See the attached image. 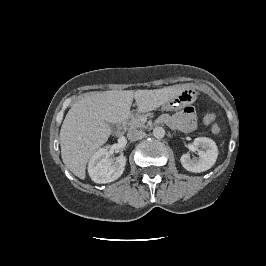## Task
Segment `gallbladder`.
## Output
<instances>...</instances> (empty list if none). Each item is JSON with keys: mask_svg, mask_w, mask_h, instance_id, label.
<instances>
[{"mask_svg": "<svg viewBox=\"0 0 266 266\" xmlns=\"http://www.w3.org/2000/svg\"><path fill=\"white\" fill-rule=\"evenodd\" d=\"M110 127L112 130H116L117 129V126L115 124H110Z\"/></svg>", "mask_w": 266, "mask_h": 266, "instance_id": "gallbladder-1", "label": "gallbladder"}]
</instances>
